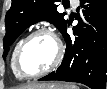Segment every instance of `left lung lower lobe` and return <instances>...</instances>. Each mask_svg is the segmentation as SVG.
<instances>
[{"label":"left lung lower lobe","instance_id":"left-lung-lower-lobe-1","mask_svg":"<svg viewBox=\"0 0 107 89\" xmlns=\"http://www.w3.org/2000/svg\"><path fill=\"white\" fill-rule=\"evenodd\" d=\"M81 6L84 20L74 28L75 38L67 34V26L62 32L67 47L60 67L39 80L78 82L91 89H105L107 0H84Z\"/></svg>","mask_w":107,"mask_h":89}]
</instances>
